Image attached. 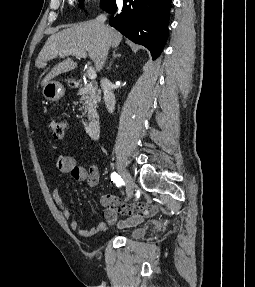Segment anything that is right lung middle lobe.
Wrapping results in <instances>:
<instances>
[{
    "label": "right lung middle lobe",
    "mask_w": 255,
    "mask_h": 287,
    "mask_svg": "<svg viewBox=\"0 0 255 287\" xmlns=\"http://www.w3.org/2000/svg\"><path fill=\"white\" fill-rule=\"evenodd\" d=\"M80 3L83 2V0H78ZM116 1L115 0H101V7L106 10L109 11L113 6H115Z\"/></svg>",
    "instance_id": "dd1d6c3e"
}]
</instances>
